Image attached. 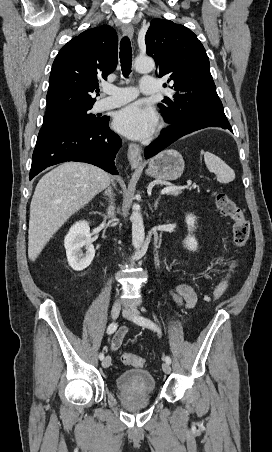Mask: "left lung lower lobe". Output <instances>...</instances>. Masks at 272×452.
<instances>
[{
  "label": "left lung lower lobe",
  "instance_id": "obj_1",
  "mask_svg": "<svg viewBox=\"0 0 272 452\" xmlns=\"http://www.w3.org/2000/svg\"><path fill=\"white\" fill-rule=\"evenodd\" d=\"M171 125L161 132L158 140L151 143L145 148V156L147 158L155 156L157 153L168 147L170 144L175 142L177 139L206 127H220L223 129H228L232 132V128L228 120H219L213 122H202L198 124H180L176 122H169Z\"/></svg>",
  "mask_w": 272,
  "mask_h": 452
}]
</instances>
